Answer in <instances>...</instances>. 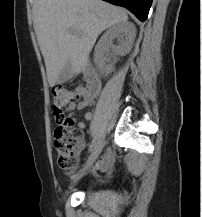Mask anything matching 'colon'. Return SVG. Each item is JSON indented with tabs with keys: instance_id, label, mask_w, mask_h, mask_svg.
<instances>
[{
	"instance_id": "obj_1",
	"label": "colon",
	"mask_w": 202,
	"mask_h": 217,
	"mask_svg": "<svg viewBox=\"0 0 202 217\" xmlns=\"http://www.w3.org/2000/svg\"><path fill=\"white\" fill-rule=\"evenodd\" d=\"M78 94L65 88H56L52 94V109L56 117L54 144L58 155V165L65 172H74L79 165V153L85 138L82 129L72 124L67 116L69 108L75 104Z\"/></svg>"
}]
</instances>
